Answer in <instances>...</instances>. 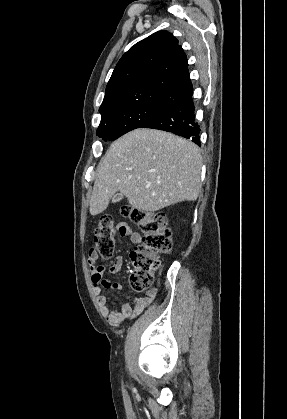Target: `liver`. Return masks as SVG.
I'll return each mask as SVG.
<instances>
[{"mask_svg":"<svg viewBox=\"0 0 287 419\" xmlns=\"http://www.w3.org/2000/svg\"><path fill=\"white\" fill-rule=\"evenodd\" d=\"M201 167L193 142L160 130H133L113 142L101 159L90 214L106 210L118 191L144 212L194 201L201 190Z\"/></svg>","mask_w":287,"mask_h":419,"instance_id":"6515ba94","label":"liver"}]
</instances>
